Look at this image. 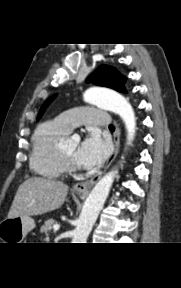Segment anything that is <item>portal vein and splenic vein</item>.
I'll use <instances>...</instances> for the list:
<instances>
[{
    "instance_id": "18ae733b",
    "label": "portal vein and splenic vein",
    "mask_w": 181,
    "mask_h": 288,
    "mask_svg": "<svg viewBox=\"0 0 181 288\" xmlns=\"http://www.w3.org/2000/svg\"><path fill=\"white\" fill-rule=\"evenodd\" d=\"M59 228H60V226H59L58 224H56V225L53 226L54 231H58Z\"/></svg>"
}]
</instances>
